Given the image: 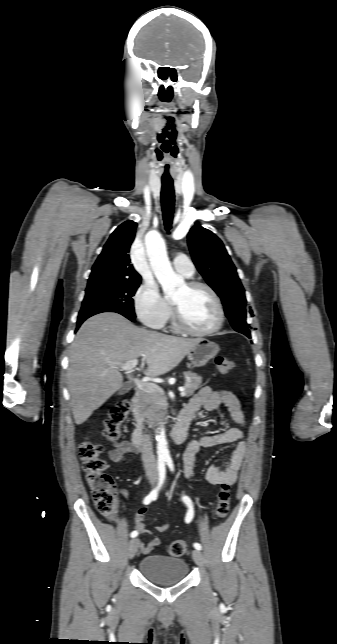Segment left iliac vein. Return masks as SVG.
<instances>
[{"instance_id":"1","label":"left iliac vein","mask_w":337,"mask_h":644,"mask_svg":"<svg viewBox=\"0 0 337 644\" xmlns=\"http://www.w3.org/2000/svg\"><path fill=\"white\" fill-rule=\"evenodd\" d=\"M192 557L198 566L202 567L204 565V557L200 550H197V549L193 550Z\"/></svg>"}]
</instances>
